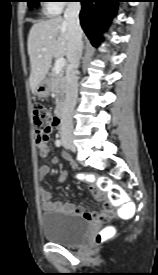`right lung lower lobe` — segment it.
<instances>
[{
	"instance_id": "98d812e1",
	"label": "right lung lower lobe",
	"mask_w": 158,
	"mask_h": 275,
	"mask_svg": "<svg viewBox=\"0 0 158 275\" xmlns=\"http://www.w3.org/2000/svg\"><path fill=\"white\" fill-rule=\"evenodd\" d=\"M80 22L92 45L98 46L102 33L116 14L119 0H79Z\"/></svg>"
}]
</instances>
